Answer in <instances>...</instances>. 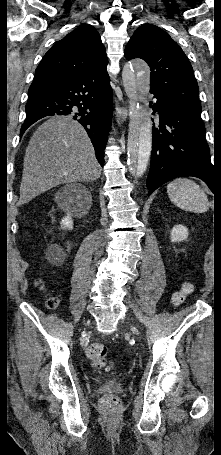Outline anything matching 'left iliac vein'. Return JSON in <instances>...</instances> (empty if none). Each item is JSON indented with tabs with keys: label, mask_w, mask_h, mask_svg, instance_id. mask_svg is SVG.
I'll return each instance as SVG.
<instances>
[{
	"label": "left iliac vein",
	"mask_w": 221,
	"mask_h": 455,
	"mask_svg": "<svg viewBox=\"0 0 221 455\" xmlns=\"http://www.w3.org/2000/svg\"><path fill=\"white\" fill-rule=\"evenodd\" d=\"M131 329H132L133 332H137L135 327L132 326Z\"/></svg>",
	"instance_id": "4c4485c4"
}]
</instances>
